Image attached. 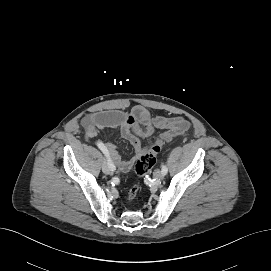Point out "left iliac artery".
<instances>
[{
  "label": "left iliac artery",
  "mask_w": 271,
  "mask_h": 271,
  "mask_svg": "<svg viewBox=\"0 0 271 271\" xmlns=\"http://www.w3.org/2000/svg\"><path fill=\"white\" fill-rule=\"evenodd\" d=\"M162 173L164 174V175H166L167 174V172H168V168H167V166L166 165H162Z\"/></svg>",
  "instance_id": "1"
}]
</instances>
